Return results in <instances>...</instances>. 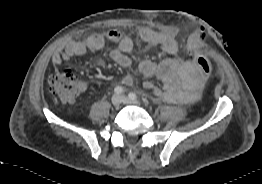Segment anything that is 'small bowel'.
Segmentation results:
<instances>
[{"instance_id":"small-bowel-1","label":"small bowel","mask_w":262,"mask_h":184,"mask_svg":"<svg viewBox=\"0 0 262 184\" xmlns=\"http://www.w3.org/2000/svg\"><path fill=\"white\" fill-rule=\"evenodd\" d=\"M208 38L207 28L200 24L190 30L185 49L189 53L196 52L197 41L204 42ZM105 40L115 43L117 47L110 53L111 59L122 67L131 65L129 53L133 50L135 39L118 30H110L105 36L93 34L83 41H70L58 47L52 55L54 65H60L73 57H82L87 53H95L103 49ZM138 41L149 46L160 47L167 57L159 63L143 60L139 64L140 72L147 77H156L162 82V87L152 81L143 82L145 89L151 90L156 96L171 102L187 104L200 98L208 73L202 72L191 59L179 57V45L172 33L155 32L148 29L140 30ZM124 84L133 83L130 76L123 79Z\"/></svg>"}]
</instances>
